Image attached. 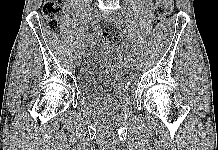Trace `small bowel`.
<instances>
[{"instance_id":"c3829d8e","label":"small bowel","mask_w":218,"mask_h":150,"mask_svg":"<svg viewBox=\"0 0 218 150\" xmlns=\"http://www.w3.org/2000/svg\"><path fill=\"white\" fill-rule=\"evenodd\" d=\"M169 10L173 7V0H160Z\"/></svg>"}]
</instances>
